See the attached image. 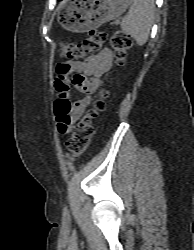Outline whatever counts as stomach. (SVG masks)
Wrapping results in <instances>:
<instances>
[{"label":"stomach","mask_w":194,"mask_h":250,"mask_svg":"<svg viewBox=\"0 0 194 250\" xmlns=\"http://www.w3.org/2000/svg\"><path fill=\"white\" fill-rule=\"evenodd\" d=\"M133 0H64L58 14L59 23L72 32H86L116 19Z\"/></svg>","instance_id":"obj_1"}]
</instances>
